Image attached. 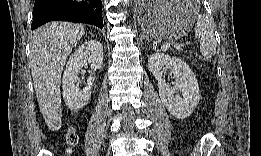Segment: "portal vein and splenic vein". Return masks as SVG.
I'll return each instance as SVG.
<instances>
[{
    "mask_svg": "<svg viewBox=\"0 0 261 156\" xmlns=\"http://www.w3.org/2000/svg\"><path fill=\"white\" fill-rule=\"evenodd\" d=\"M170 47V43H166L163 47L162 50L165 51Z\"/></svg>",
    "mask_w": 261,
    "mask_h": 156,
    "instance_id": "obj_1",
    "label": "portal vein and splenic vein"
}]
</instances>
